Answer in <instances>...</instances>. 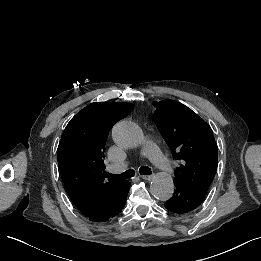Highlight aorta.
Returning <instances> with one entry per match:
<instances>
[{
    "instance_id": "obj_1",
    "label": "aorta",
    "mask_w": 261,
    "mask_h": 261,
    "mask_svg": "<svg viewBox=\"0 0 261 261\" xmlns=\"http://www.w3.org/2000/svg\"><path fill=\"white\" fill-rule=\"evenodd\" d=\"M112 137L115 143L124 148H132L141 144L144 134L141 128L129 121H120L112 129ZM152 195L161 200H169L174 193V182L171 175L160 172L157 173L151 182Z\"/></svg>"
}]
</instances>
